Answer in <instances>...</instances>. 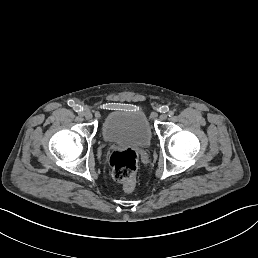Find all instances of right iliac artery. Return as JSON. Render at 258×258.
Listing matches in <instances>:
<instances>
[{"label":"right iliac artery","mask_w":258,"mask_h":258,"mask_svg":"<svg viewBox=\"0 0 258 258\" xmlns=\"http://www.w3.org/2000/svg\"><path fill=\"white\" fill-rule=\"evenodd\" d=\"M79 116H84V113L83 112H79Z\"/></svg>","instance_id":"1"}]
</instances>
